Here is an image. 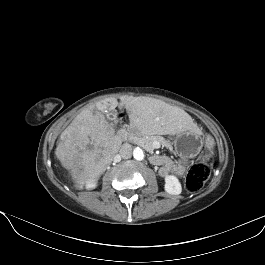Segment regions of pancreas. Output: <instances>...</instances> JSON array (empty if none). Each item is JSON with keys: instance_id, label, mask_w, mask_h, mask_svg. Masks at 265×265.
Returning a JSON list of instances; mask_svg holds the SVG:
<instances>
[{"instance_id": "pancreas-1", "label": "pancreas", "mask_w": 265, "mask_h": 265, "mask_svg": "<svg viewBox=\"0 0 265 265\" xmlns=\"http://www.w3.org/2000/svg\"><path fill=\"white\" fill-rule=\"evenodd\" d=\"M128 140L142 146L144 149H146L149 152L153 151L152 144L154 141L160 142L161 145L165 146L166 148L170 150L173 149L169 141H167L165 138L158 136V135L157 136H143V135L130 134L128 136Z\"/></svg>"}]
</instances>
